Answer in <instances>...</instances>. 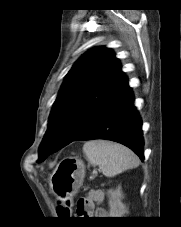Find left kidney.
Masks as SVG:
<instances>
[{
  "label": "left kidney",
  "mask_w": 181,
  "mask_h": 227,
  "mask_svg": "<svg viewBox=\"0 0 181 227\" xmlns=\"http://www.w3.org/2000/svg\"><path fill=\"white\" fill-rule=\"evenodd\" d=\"M109 216L110 217H124L128 213V208L122 202L123 193L121 187L116 188L115 190H110L109 192Z\"/></svg>",
  "instance_id": "obj_1"
}]
</instances>
